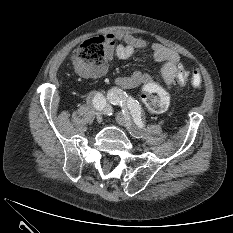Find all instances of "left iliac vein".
Wrapping results in <instances>:
<instances>
[{
    "mask_svg": "<svg viewBox=\"0 0 233 233\" xmlns=\"http://www.w3.org/2000/svg\"><path fill=\"white\" fill-rule=\"evenodd\" d=\"M116 121L118 122V124L125 127L133 137H135V138L142 137V135H143L142 131L139 129V127H137L133 123L132 119L128 115H123L122 113H117L116 114Z\"/></svg>",
    "mask_w": 233,
    "mask_h": 233,
    "instance_id": "1",
    "label": "left iliac vein"
}]
</instances>
